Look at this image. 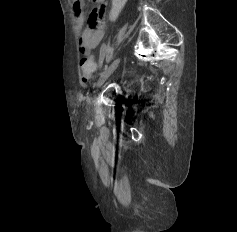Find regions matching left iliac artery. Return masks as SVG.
I'll use <instances>...</instances> for the list:
<instances>
[{"label": "left iliac artery", "mask_w": 237, "mask_h": 232, "mask_svg": "<svg viewBox=\"0 0 237 232\" xmlns=\"http://www.w3.org/2000/svg\"><path fill=\"white\" fill-rule=\"evenodd\" d=\"M106 49H107L106 44L103 43L101 45L100 54H99V66H100V68L102 67V63H103V60H104V57H105Z\"/></svg>", "instance_id": "44dca946"}]
</instances>
